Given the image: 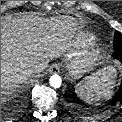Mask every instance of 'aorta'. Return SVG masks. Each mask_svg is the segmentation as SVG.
I'll return each instance as SVG.
<instances>
[{"label": "aorta", "mask_w": 122, "mask_h": 122, "mask_svg": "<svg viewBox=\"0 0 122 122\" xmlns=\"http://www.w3.org/2000/svg\"><path fill=\"white\" fill-rule=\"evenodd\" d=\"M49 83L53 88H59L62 84L61 77L57 74H54L50 77Z\"/></svg>", "instance_id": "1"}]
</instances>
